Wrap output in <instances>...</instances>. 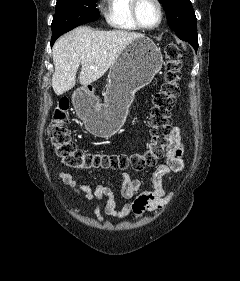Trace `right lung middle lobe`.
Instances as JSON below:
<instances>
[{
	"label": "right lung middle lobe",
	"mask_w": 240,
	"mask_h": 281,
	"mask_svg": "<svg viewBox=\"0 0 240 281\" xmlns=\"http://www.w3.org/2000/svg\"><path fill=\"white\" fill-rule=\"evenodd\" d=\"M97 0H57L52 21L51 45L65 32L98 19Z\"/></svg>",
	"instance_id": "dd1d6c3e"
}]
</instances>
